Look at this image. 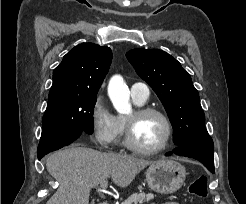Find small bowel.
I'll list each match as a JSON object with an SVG mask.
<instances>
[{"label":"small bowel","instance_id":"1","mask_svg":"<svg viewBox=\"0 0 246 204\" xmlns=\"http://www.w3.org/2000/svg\"><path fill=\"white\" fill-rule=\"evenodd\" d=\"M164 204H179V203H176V202H168V203H164Z\"/></svg>","mask_w":246,"mask_h":204}]
</instances>
